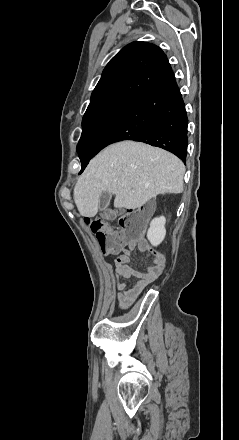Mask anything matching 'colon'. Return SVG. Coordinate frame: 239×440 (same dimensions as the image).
<instances>
[{
	"mask_svg": "<svg viewBox=\"0 0 239 440\" xmlns=\"http://www.w3.org/2000/svg\"><path fill=\"white\" fill-rule=\"evenodd\" d=\"M103 253H118L127 245L139 241L142 234L141 219L132 210L120 216V228L111 229L102 218L86 219Z\"/></svg>",
	"mask_w": 239,
	"mask_h": 440,
	"instance_id": "colon-1",
	"label": "colon"
}]
</instances>
